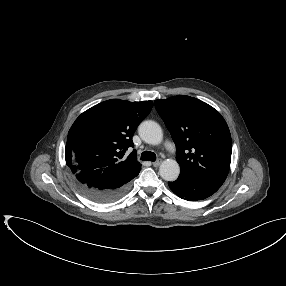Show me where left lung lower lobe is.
Listing matches in <instances>:
<instances>
[{"mask_svg": "<svg viewBox=\"0 0 286 286\" xmlns=\"http://www.w3.org/2000/svg\"><path fill=\"white\" fill-rule=\"evenodd\" d=\"M168 185L177 196L188 201L205 199L220 188L186 174H180L175 182H169Z\"/></svg>", "mask_w": 286, "mask_h": 286, "instance_id": "0a47b994", "label": "left lung lower lobe"}]
</instances>
